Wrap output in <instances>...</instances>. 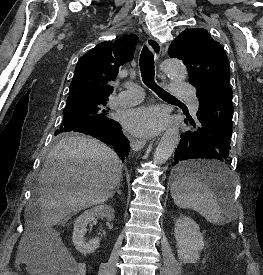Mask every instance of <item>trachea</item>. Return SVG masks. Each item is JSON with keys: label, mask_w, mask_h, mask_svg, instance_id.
<instances>
[{"label": "trachea", "mask_w": 263, "mask_h": 275, "mask_svg": "<svg viewBox=\"0 0 263 275\" xmlns=\"http://www.w3.org/2000/svg\"><path fill=\"white\" fill-rule=\"evenodd\" d=\"M139 66H140L142 81L148 88L152 89L160 98L176 99V97L169 94L163 88H161L155 83L154 56L147 46H144L141 51Z\"/></svg>", "instance_id": "obj_1"}]
</instances>
